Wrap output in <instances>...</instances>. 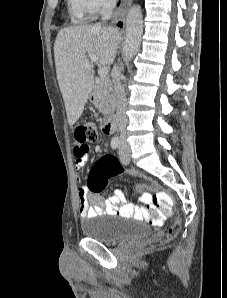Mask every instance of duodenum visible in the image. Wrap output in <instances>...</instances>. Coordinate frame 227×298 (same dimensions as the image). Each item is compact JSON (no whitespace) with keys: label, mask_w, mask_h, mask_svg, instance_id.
<instances>
[{"label":"duodenum","mask_w":227,"mask_h":298,"mask_svg":"<svg viewBox=\"0 0 227 298\" xmlns=\"http://www.w3.org/2000/svg\"><path fill=\"white\" fill-rule=\"evenodd\" d=\"M91 99H94V96L91 95ZM117 127L116 117L113 114H110L106 117L102 124V131L105 134H112Z\"/></svg>","instance_id":"1"}]
</instances>
